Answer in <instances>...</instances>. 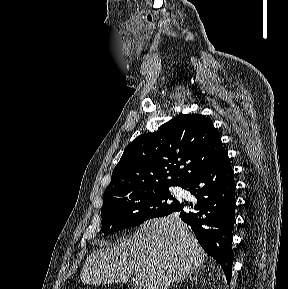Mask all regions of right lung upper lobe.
Masks as SVG:
<instances>
[{"instance_id": "obj_1", "label": "right lung upper lobe", "mask_w": 288, "mask_h": 289, "mask_svg": "<svg viewBox=\"0 0 288 289\" xmlns=\"http://www.w3.org/2000/svg\"><path fill=\"white\" fill-rule=\"evenodd\" d=\"M224 151L218 132L205 116H177L157 132L140 135L126 147L104 198L148 188L181 186Z\"/></svg>"}]
</instances>
